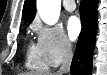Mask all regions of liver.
<instances>
[{
  "instance_id": "1",
  "label": "liver",
  "mask_w": 107,
  "mask_h": 75,
  "mask_svg": "<svg viewBox=\"0 0 107 75\" xmlns=\"http://www.w3.org/2000/svg\"><path fill=\"white\" fill-rule=\"evenodd\" d=\"M20 75H39V74L27 72V73H23V74H20ZM42 75H57V74L56 73H44Z\"/></svg>"
}]
</instances>
